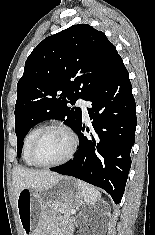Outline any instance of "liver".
<instances>
[{
    "label": "liver",
    "mask_w": 155,
    "mask_h": 235,
    "mask_svg": "<svg viewBox=\"0 0 155 235\" xmlns=\"http://www.w3.org/2000/svg\"><path fill=\"white\" fill-rule=\"evenodd\" d=\"M62 176L46 170H32L16 166L13 170V186L16 199L21 190L47 189L55 184Z\"/></svg>",
    "instance_id": "6515ba94"
}]
</instances>
